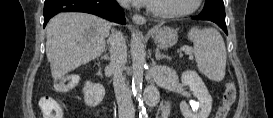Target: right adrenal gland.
I'll list each match as a JSON object with an SVG mask.
<instances>
[{
    "label": "right adrenal gland",
    "instance_id": "obj_1",
    "mask_svg": "<svg viewBox=\"0 0 273 118\" xmlns=\"http://www.w3.org/2000/svg\"><path fill=\"white\" fill-rule=\"evenodd\" d=\"M103 59H104V60H108V59H109L108 54H105V55L103 56Z\"/></svg>",
    "mask_w": 273,
    "mask_h": 118
}]
</instances>
